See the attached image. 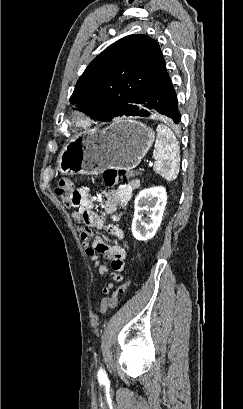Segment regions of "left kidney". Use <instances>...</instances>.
I'll use <instances>...</instances> for the list:
<instances>
[{"label":"left kidney","instance_id":"1","mask_svg":"<svg viewBox=\"0 0 243 409\" xmlns=\"http://www.w3.org/2000/svg\"><path fill=\"white\" fill-rule=\"evenodd\" d=\"M166 203L167 194L163 187H152L139 192L134 202L135 211L131 227L134 238L146 241L156 234Z\"/></svg>","mask_w":243,"mask_h":409}]
</instances>
